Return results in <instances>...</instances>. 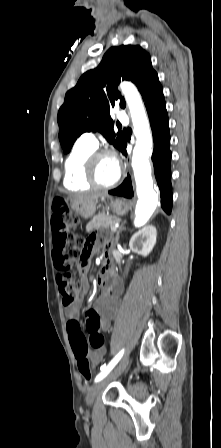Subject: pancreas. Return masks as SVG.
<instances>
[{
    "label": "pancreas",
    "instance_id": "obj_1",
    "mask_svg": "<svg viewBox=\"0 0 221 448\" xmlns=\"http://www.w3.org/2000/svg\"><path fill=\"white\" fill-rule=\"evenodd\" d=\"M121 221L120 218L116 216H111L105 213H101L95 216L92 221L87 225V231H91L93 229H102L107 227H112L116 223Z\"/></svg>",
    "mask_w": 221,
    "mask_h": 448
}]
</instances>
